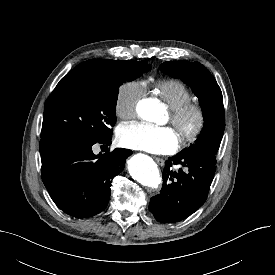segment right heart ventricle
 <instances>
[{"mask_svg": "<svg viewBox=\"0 0 275 275\" xmlns=\"http://www.w3.org/2000/svg\"><path fill=\"white\" fill-rule=\"evenodd\" d=\"M152 90L170 110L192 102L194 99L188 86L177 79L158 80L152 85Z\"/></svg>", "mask_w": 275, "mask_h": 275, "instance_id": "1", "label": "right heart ventricle"}]
</instances>
